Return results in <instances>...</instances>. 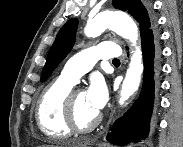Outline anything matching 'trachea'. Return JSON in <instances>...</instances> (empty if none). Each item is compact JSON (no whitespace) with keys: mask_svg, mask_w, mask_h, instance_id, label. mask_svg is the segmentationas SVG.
<instances>
[{"mask_svg":"<svg viewBox=\"0 0 183 147\" xmlns=\"http://www.w3.org/2000/svg\"><path fill=\"white\" fill-rule=\"evenodd\" d=\"M112 62H120V60L116 58V59H113Z\"/></svg>","mask_w":183,"mask_h":147,"instance_id":"obj_1","label":"trachea"}]
</instances>
